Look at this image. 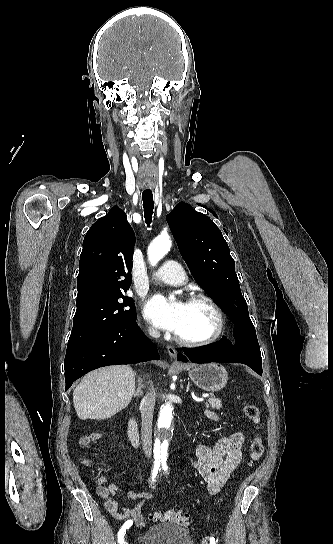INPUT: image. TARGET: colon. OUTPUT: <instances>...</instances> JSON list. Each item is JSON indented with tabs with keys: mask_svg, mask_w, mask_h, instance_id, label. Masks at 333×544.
<instances>
[{
	"mask_svg": "<svg viewBox=\"0 0 333 544\" xmlns=\"http://www.w3.org/2000/svg\"><path fill=\"white\" fill-rule=\"evenodd\" d=\"M244 414L253 425L259 429L261 426L260 410L256 405L247 404L244 406ZM92 436H86L82 439V443L86 444L91 440ZM264 452L263 440L259 435H256L250 444V460L249 464L253 465L258 462ZM148 520L150 521H166L178 525L185 526L189 522V517L186 513L177 510L168 511H153L149 514Z\"/></svg>",
	"mask_w": 333,
	"mask_h": 544,
	"instance_id": "obj_1",
	"label": "colon"
}]
</instances>
